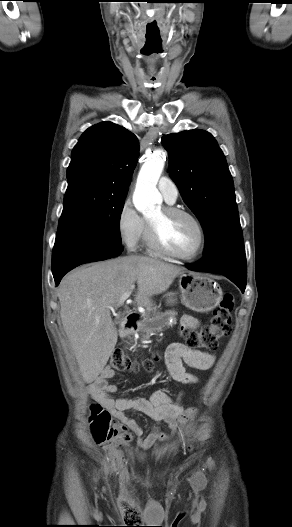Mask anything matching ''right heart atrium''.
<instances>
[{
    "label": "right heart atrium",
    "mask_w": 292,
    "mask_h": 527,
    "mask_svg": "<svg viewBox=\"0 0 292 527\" xmlns=\"http://www.w3.org/2000/svg\"><path fill=\"white\" fill-rule=\"evenodd\" d=\"M145 229V221L135 210L130 199H125L117 216V230L125 247L134 251L137 249Z\"/></svg>",
    "instance_id": "obj_1"
}]
</instances>
